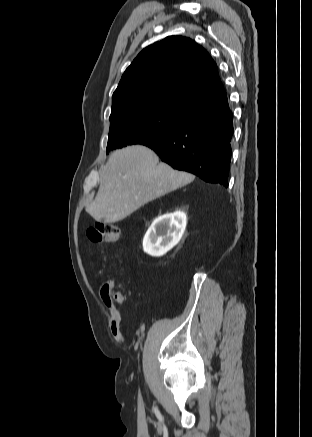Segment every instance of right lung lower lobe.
Wrapping results in <instances>:
<instances>
[{
  "label": "right lung lower lobe",
  "instance_id": "obj_1",
  "mask_svg": "<svg viewBox=\"0 0 312 437\" xmlns=\"http://www.w3.org/2000/svg\"><path fill=\"white\" fill-rule=\"evenodd\" d=\"M233 114L227 94L196 109L177 130L142 143L173 168L228 187Z\"/></svg>",
  "mask_w": 312,
  "mask_h": 437
}]
</instances>
